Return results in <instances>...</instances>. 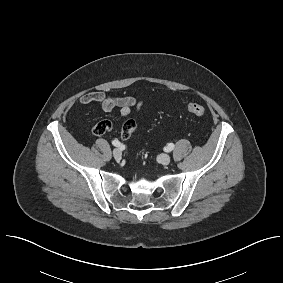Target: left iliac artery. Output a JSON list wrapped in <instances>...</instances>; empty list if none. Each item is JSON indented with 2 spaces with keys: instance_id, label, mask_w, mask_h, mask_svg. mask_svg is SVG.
I'll return each mask as SVG.
<instances>
[{
  "instance_id": "1",
  "label": "left iliac artery",
  "mask_w": 283,
  "mask_h": 283,
  "mask_svg": "<svg viewBox=\"0 0 283 283\" xmlns=\"http://www.w3.org/2000/svg\"><path fill=\"white\" fill-rule=\"evenodd\" d=\"M174 149V144L173 143H169L167 146V150L168 151H172Z\"/></svg>"
}]
</instances>
